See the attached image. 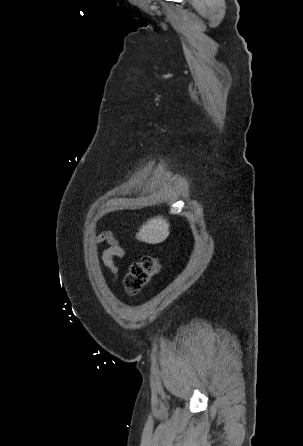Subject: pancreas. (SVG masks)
<instances>
[{
    "label": "pancreas",
    "mask_w": 303,
    "mask_h": 446,
    "mask_svg": "<svg viewBox=\"0 0 303 446\" xmlns=\"http://www.w3.org/2000/svg\"><path fill=\"white\" fill-rule=\"evenodd\" d=\"M142 7H143L145 10H147V7H145V6H143V5H142Z\"/></svg>",
    "instance_id": "obj_1"
}]
</instances>
